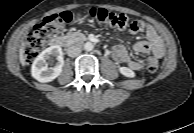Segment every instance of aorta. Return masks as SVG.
<instances>
[{
    "instance_id": "aorta-1",
    "label": "aorta",
    "mask_w": 194,
    "mask_h": 133,
    "mask_svg": "<svg viewBox=\"0 0 194 133\" xmlns=\"http://www.w3.org/2000/svg\"><path fill=\"white\" fill-rule=\"evenodd\" d=\"M93 48H94V45H93L91 42H86V43L84 44V49H85L86 51H92Z\"/></svg>"
}]
</instances>
